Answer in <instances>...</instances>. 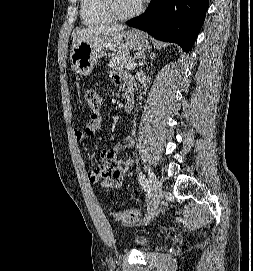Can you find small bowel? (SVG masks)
Returning a JSON list of instances; mask_svg holds the SVG:
<instances>
[{"label":"small bowel","instance_id":"obj_1","mask_svg":"<svg viewBox=\"0 0 253 271\" xmlns=\"http://www.w3.org/2000/svg\"><path fill=\"white\" fill-rule=\"evenodd\" d=\"M113 79L116 83L121 85L125 93L126 91L133 92V85L127 77L119 74H113ZM101 126L102 116L100 114H94L91 116L83 131L72 129V137L78 142L82 141L86 137L97 134L100 131ZM132 146L133 139L128 136L113 147L103 149L101 152V158L105 160L106 163L89 166L88 175L90 181L97 183L100 188H119L125 181L126 173L133 164V161L130 158H118V153L122 150L131 148Z\"/></svg>","mask_w":253,"mask_h":271}]
</instances>
